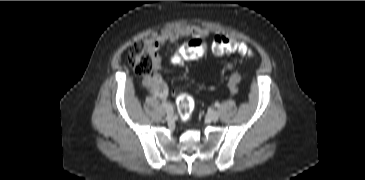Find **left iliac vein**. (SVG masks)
Instances as JSON below:
<instances>
[{"mask_svg": "<svg viewBox=\"0 0 365 180\" xmlns=\"http://www.w3.org/2000/svg\"><path fill=\"white\" fill-rule=\"evenodd\" d=\"M208 118H209L211 121L215 122V121H217V120L219 119V114H218V112H216V111L212 110V111H210V112L208 113Z\"/></svg>", "mask_w": 365, "mask_h": 180, "instance_id": "4c4485c4", "label": "left iliac vein"}]
</instances>
